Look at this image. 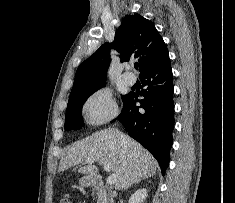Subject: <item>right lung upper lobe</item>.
Listing matches in <instances>:
<instances>
[{
    "instance_id": "1",
    "label": "right lung upper lobe",
    "mask_w": 235,
    "mask_h": 203,
    "mask_svg": "<svg viewBox=\"0 0 235 203\" xmlns=\"http://www.w3.org/2000/svg\"><path fill=\"white\" fill-rule=\"evenodd\" d=\"M114 48L128 61L131 54L139 57L140 75L169 57L168 49L154 24L140 14L126 16L117 29L113 43L103 44L77 69L71 93L103 83L110 63V49Z\"/></svg>"
}]
</instances>
